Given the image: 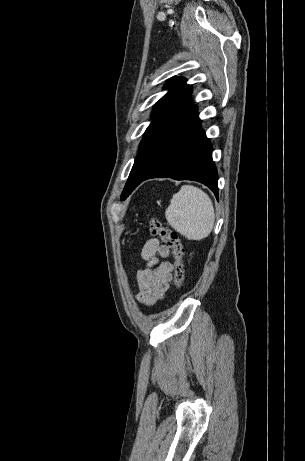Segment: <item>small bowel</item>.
I'll return each mask as SVG.
<instances>
[{"label": "small bowel", "mask_w": 305, "mask_h": 461, "mask_svg": "<svg viewBox=\"0 0 305 461\" xmlns=\"http://www.w3.org/2000/svg\"><path fill=\"white\" fill-rule=\"evenodd\" d=\"M169 254V248L156 238L147 240L142 248L141 257L146 267L136 273V298L146 307L163 300L169 289L173 272L172 262L166 260Z\"/></svg>", "instance_id": "obj_1"}]
</instances>
